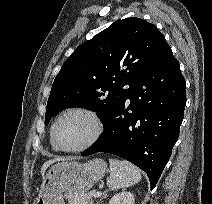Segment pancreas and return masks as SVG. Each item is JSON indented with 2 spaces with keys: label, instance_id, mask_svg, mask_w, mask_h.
Instances as JSON below:
<instances>
[{
  "label": "pancreas",
  "instance_id": "pancreas-1",
  "mask_svg": "<svg viewBox=\"0 0 212 204\" xmlns=\"http://www.w3.org/2000/svg\"><path fill=\"white\" fill-rule=\"evenodd\" d=\"M95 192H89L87 194H77L68 192L64 194V198L68 201V204H92V197Z\"/></svg>",
  "mask_w": 212,
  "mask_h": 204
}]
</instances>
